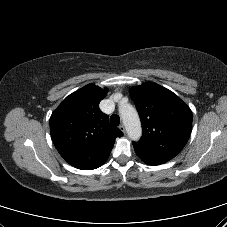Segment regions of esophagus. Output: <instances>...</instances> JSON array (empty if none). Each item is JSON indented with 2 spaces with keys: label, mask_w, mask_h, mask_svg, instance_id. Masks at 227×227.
<instances>
[{
  "label": "esophagus",
  "mask_w": 227,
  "mask_h": 227,
  "mask_svg": "<svg viewBox=\"0 0 227 227\" xmlns=\"http://www.w3.org/2000/svg\"><path fill=\"white\" fill-rule=\"evenodd\" d=\"M119 129H120L123 133L126 132L125 126H124L123 124H121V125L119 126Z\"/></svg>",
  "instance_id": "34e87169"
}]
</instances>
